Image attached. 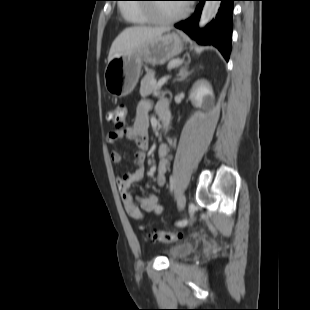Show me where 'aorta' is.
I'll return each mask as SVG.
<instances>
[{
	"label": "aorta",
	"instance_id": "obj_1",
	"mask_svg": "<svg viewBox=\"0 0 310 310\" xmlns=\"http://www.w3.org/2000/svg\"><path fill=\"white\" fill-rule=\"evenodd\" d=\"M220 6V1H206L201 13L199 26L204 27L215 15Z\"/></svg>",
	"mask_w": 310,
	"mask_h": 310
}]
</instances>
